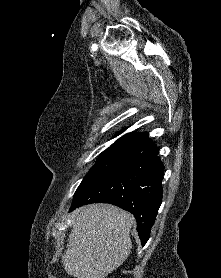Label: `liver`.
<instances>
[{
    "label": "liver",
    "mask_w": 221,
    "mask_h": 278,
    "mask_svg": "<svg viewBox=\"0 0 221 278\" xmlns=\"http://www.w3.org/2000/svg\"><path fill=\"white\" fill-rule=\"evenodd\" d=\"M132 214L109 204L75 211V221L62 256L64 269L75 278H105L129 256Z\"/></svg>",
    "instance_id": "obj_1"
}]
</instances>
